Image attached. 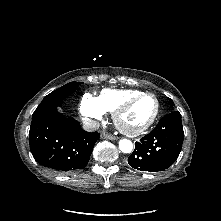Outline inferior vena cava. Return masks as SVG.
Returning a JSON list of instances; mask_svg holds the SVG:
<instances>
[{
  "instance_id": "obj_1",
  "label": "inferior vena cava",
  "mask_w": 221,
  "mask_h": 221,
  "mask_svg": "<svg viewBox=\"0 0 221 221\" xmlns=\"http://www.w3.org/2000/svg\"><path fill=\"white\" fill-rule=\"evenodd\" d=\"M99 127H100L99 122L94 121V120L85 121L83 123V129L86 130V131H89V132L97 130V129H99Z\"/></svg>"
}]
</instances>
